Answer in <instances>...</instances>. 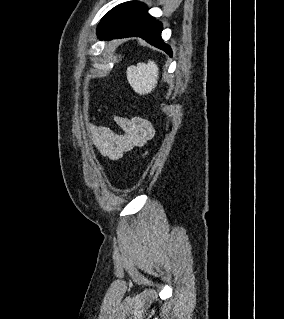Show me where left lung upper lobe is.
Returning a JSON list of instances; mask_svg holds the SVG:
<instances>
[{"instance_id": "5c2ea615", "label": "left lung upper lobe", "mask_w": 284, "mask_h": 319, "mask_svg": "<svg viewBox=\"0 0 284 319\" xmlns=\"http://www.w3.org/2000/svg\"><path fill=\"white\" fill-rule=\"evenodd\" d=\"M122 4L114 7L113 9H111L101 20V22L98 25L97 28V33L99 34L106 26L107 24L112 20V18L114 17V15L116 14V12L119 10L120 6Z\"/></svg>"}]
</instances>
